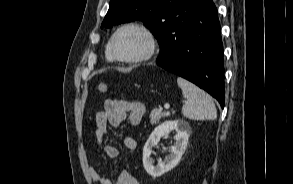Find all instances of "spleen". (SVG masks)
I'll return each mask as SVG.
<instances>
[{
	"label": "spleen",
	"mask_w": 293,
	"mask_h": 184,
	"mask_svg": "<svg viewBox=\"0 0 293 184\" xmlns=\"http://www.w3.org/2000/svg\"><path fill=\"white\" fill-rule=\"evenodd\" d=\"M177 83L186 99L182 107L184 117L192 120H215L217 118L215 104L205 91L181 77L177 78Z\"/></svg>",
	"instance_id": "3e777b00"
}]
</instances>
